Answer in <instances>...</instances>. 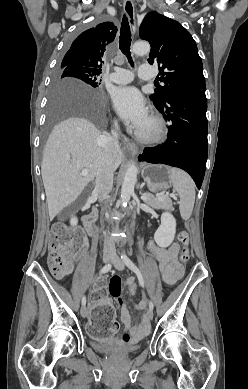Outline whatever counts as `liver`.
Listing matches in <instances>:
<instances>
[{"label":"liver","mask_w":248,"mask_h":389,"mask_svg":"<svg viewBox=\"0 0 248 389\" xmlns=\"http://www.w3.org/2000/svg\"><path fill=\"white\" fill-rule=\"evenodd\" d=\"M59 94L64 98L59 102L82 100L90 105L96 104L94 93L84 85H70ZM106 137L91 121L82 117L68 118L53 128L41 164L50 220L74 202L95 178ZM122 158L120 150L114 169L119 167ZM81 168L88 170L86 176L81 175Z\"/></svg>","instance_id":"liver-1"}]
</instances>
